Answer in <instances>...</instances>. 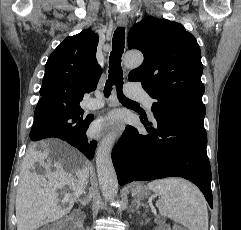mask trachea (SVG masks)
I'll return each instance as SVG.
<instances>
[{"instance_id":"trachea-1","label":"trachea","mask_w":241,"mask_h":230,"mask_svg":"<svg viewBox=\"0 0 241 230\" xmlns=\"http://www.w3.org/2000/svg\"><path fill=\"white\" fill-rule=\"evenodd\" d=\"M124 39H125V28L118 27L113 35L112 40V52L110 55L109 61V76L106 81L104 94L108 97L111 93L112 86H116V90L118 93V98L121 103H130L134 104L136 102L129 100L122 93V85H123V73L121 68V57L124 51Z\"/></svg>"}]
</instances>
